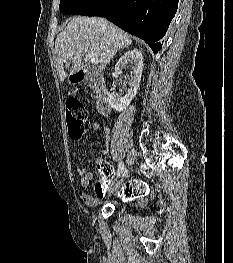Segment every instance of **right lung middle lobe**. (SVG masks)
<instances>
[{
    "instance_id": "right-lung-middle-lobe-1",
    "label": "right lung middle lobe",
    "mask_w": 233,
    "mask_h": 263,
    "mask_svg": "<svg viewBox=\"0 0 233 263\" xmlns=\"http://www.w3.org/2000/svg\"><path fill=\"white\" fill-rule=\"evenodd\" d=\"M100 0H60V10L65 14L87 15Z\"/></svg>"
}]
</instances>
